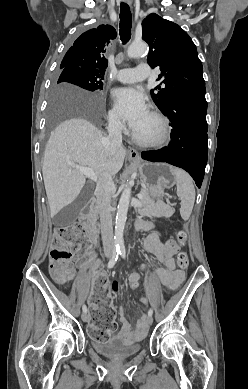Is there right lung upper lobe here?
Masks as SVG:
<instances>
[{
	"label": "right lung upper lobe",
	"instance_id": "obj_1",
	"mask_svg": "<svg viewBox=\"0 0 248 389\" xmlns=\"http://www.w3.org/2000/svg\"><path fill=\"white\" fill-rule=\"evenodd\" d=\"M116 36L115 29L110 25H100L86 31L67 51L61 66L85 69L104 76L108 63L104 57L105 47Z\"/></svg>",
	"mask_w": 248,
	"mask_h": 389
}]
</instances>
